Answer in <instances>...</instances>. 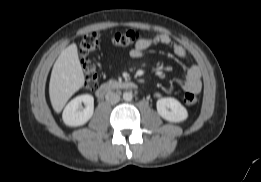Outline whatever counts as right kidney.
<instances>
[{
  "mask_svg": "<svg viewBox=\"0 0 261 182\" xmlns=\"http://www.w3.org/2000/svg\"><path fill=\"white\" fill-rule=\"evenodd\" d=\"M82 103L85 108L82 109ZM94 112V98L84 94L72 99L64 108L62 119L67 126H81L89 121Z\"/></svg>",
  "mask_w": 261,
  "mask_h": 182,
  "instance_id": "ca27d5eb",
  "label": "right kidney"
}]
</instances>
